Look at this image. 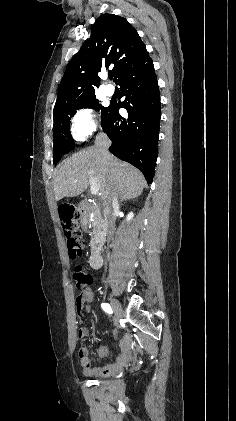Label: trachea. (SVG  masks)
<instances>
[{
  "label": "trachea",
  "mask_w": 236,
  "mask_h": 421,
  "mask_svg": "<svg viewBox=\"0 0 236 421\" xmlns=\"http://www.w3.org/2000/svg\"><path fill=\"white\" fill-rule=\"evenodd\" d=\"M109 78H110V80H112L113 79V75H109Z\"/></svg>",
  "instance_id": "3493384b"
}]
</instances>
